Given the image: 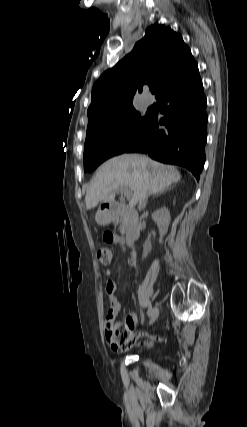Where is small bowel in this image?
Here are the masks:
<instances>
[{"mask_svg": "<svg viewBox=\"0 0 247 427\" xmlns=\"http://www.w3.org/2000/svg\"><path fill=\"white\" fill-rule=\"evenodd\" d=\"M103 243L106 246L112 245V243H116L119 245H124V239L118 235H114L113 229H104L103 231ZM126 259L130 266L136 267L137 263V255L133 249H130L126 252ZM109 275V271H107ZM137 275V271H136ZM106 296L109 301V309L107 319L114 320L118 315L121 309V303L116 295V284L115 282L108 277L106 280ZM137 323V315L134 312H130L127 314L125 318V324H127L132 330L136 326ZM150 341H145L144 344L149 343Z\"/></svg>", "mask_w": 247, "mask_h": 427, "instance_id": "c3829d8e", "label": "small bowel"}]
</instances>
